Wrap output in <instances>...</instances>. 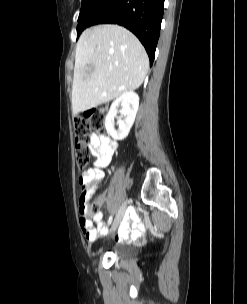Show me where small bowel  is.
Returning a JSON list of instances; mask_svg holds the SVG:
<instances>
[{"label": "small bowel", "instance_id": "obj_1", "mask_svg": "<svg viewBox=\"0 0 247 304\" xmlns=\"http://www.w3.org/2000/svg\"><path fill=\"white\" fill-rule=\"evenodd\" d=\"M88 147L95 157V161L91 168L81 174L79 182L81 185L86 186L88 192L87 198L89 199L93 189L104 179L103 168L110 164L112 155L116 149V142L104 134H92L89 137ZM92 220L97 224V227H94L90 220L85 221L82 219L80 221L82 232L89 242H94L100 236L107 233V227L103 222V214L101 212H97L92 217ZM141 237V225L134 211H131L129 221L122 226L117 240L120 242H131L137 241Z\"/></svg>", "mask_w": 247, "mask_h": 304}]
</instances>
